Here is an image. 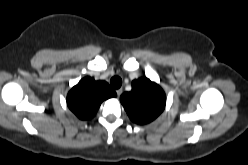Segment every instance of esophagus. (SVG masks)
I'll list each match as a JSON object with an SVG mask.
<instances>
[{"label":"esophagus","mask_w":248,"mask_h":165,"mask_svg":"<svg viewBox=\"0 0 248 165\" xmlns=\"http://www.w3.org/2000/svg\"><path fill=\"white\" fill-rule=\"evenodd\" d=\"M122 92H123L122 88L117 89V90H116V94H117V96H118V97H120V96H121V94H122Z\"/></svg>","instance_id":"34e87169"}]
</instances>
